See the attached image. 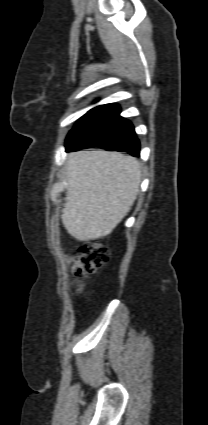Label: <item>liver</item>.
Masks as SVG:
<instances>
[{"label":"liver","instance_id":"obj_1","mask_svg":"<svg viewBox=\"0 0 208 425\" xmlns=\"http://www.w3.org/2000/svg\"><path fill=\"white\" fill-rule=\"evenodd\" d=\"M141 166L131 156L103 150L70 153L62 222L79 241L110 234L133 206L141 183Z\"/></svg>","mask_w":208,"mask_h":425}]
</instances>
